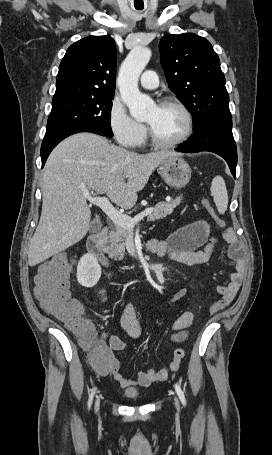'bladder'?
<instances>
[{
	"instance_id": "31cf9c89",
	"label": "bladder",
	"mask_w": 272,
	"mask_h": 455,
	"mask_svg": "<svg viewBox=\"0 0 272 455\" xmlns=\"http://www.w3.org/2000/svg\"><path fill=\"white\" fill-rule=\"evenodd\" d=\"M125 395L129 398L135 399L139 396V392L135 388H128L124 391Z\"/></svg>"
}]
</instances>
